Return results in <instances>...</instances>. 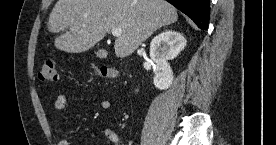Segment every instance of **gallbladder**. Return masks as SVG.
Listing matches in <instances>:
<instances>
[{
	"mask_svg": "<svg viewBox=\"0 0 276 145\" xmlns=\"http://www.w3.org/2000/svg\"><path fill=\"white\" fill-rule=\"evenodd\" d=\"M97 57L104 58L105 57V51L103 49H100L96 52Z\"/></svg>",
	"mask_w": 276,
	"mask_h": 145,
	"instance_id": "1",
	"label": "gallbladder"
}]
</instances>
